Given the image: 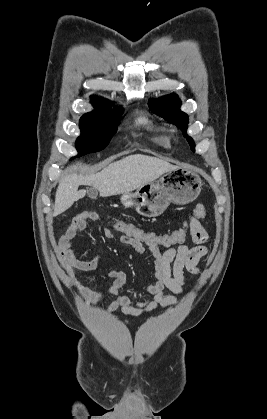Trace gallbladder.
Here are the masks:
<instances>
[{"label": "gallbladder", "instance_id": "obj_1", "mask_svg": "<svg viewBox=\"0 0 267 419\" xmlns=\"http://www.w3.org/2000/svg\"><path fill=\"white\" fill-rule=\"evenodd\" d=\"M88 196L92 199H95L97 197V190L95 188H91L87 190Z\"/></svg>", "mask_w": 267, "mask_h": 419}]
</instances>
